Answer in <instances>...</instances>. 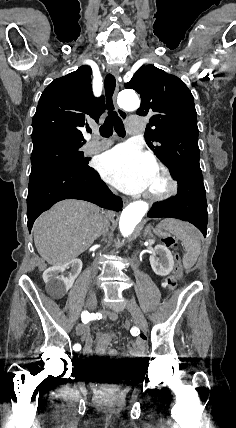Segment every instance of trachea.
Here are the masks:
<instances>
[{"label": "trachea", "instance_id": "3493384b", "mask_svg": "<svg viewBox=\"0 0 236 428\" xmlns=\"http://www.w3.org/2000/svg\"><path fill=\"white\" fill-rule=\"evenodd\" d=\"M116 80L111 73L106 75L104 80V88L106 94V108L108 110V116L103 125L100 127V133L103 137H110L113 133V127L115 128L116 133L120 137H124L126 135L124 124L121 118L114 111V106L112 102V95L115 90Z\"/></svg>", "mask_w": 236, "mask_h": 428}]
</instances>
